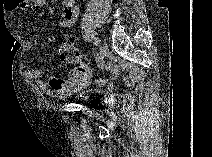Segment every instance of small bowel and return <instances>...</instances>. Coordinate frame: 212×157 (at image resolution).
I'll list each match as a JSON object with an SVG mask.
<instances>
[{"mask_svg": "<svg viewBox=\"0 0 212 157\" xmlns=\"http://www.w3.org/2000/svg\"><path fill=\"white\" fill-rule=\"evenodd\" d=\"M37 1H34L35 4ZM31 4L27 0H6L5 8L10 12H16L18 10H26L31 7ZM79 14V8L74 0H66L63 3L62 14L60 18V25L62 27H71ZM33 44L31 41H27L25 47L27 50L32 48ZM42 69L39 67L31 68L26 70V77L33 80L39 87L46 90L49 94L57 97H63L69 93L82 88L85 86L89 76L90 70L87 78L84 80H79L72 75L71 77L64 78L58 76H50L47 83L41 81ZM74 74V73H72Z\"/></svg>", "mask_w": 212, "mask_h": 157, "instance_id": "c3829d8e", "label": "small bowel"}]
</instances>
